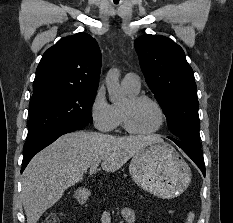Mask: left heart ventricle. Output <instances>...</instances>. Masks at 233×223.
Wrapping results in <instances>:
<instances>
[{
  "label": "left heart ventricle",
  "mask_w": 233,
  "mask_h": 223,
  "mask_svg": "<svg viewBox=\"0 0 233 223\" xmlns=\"http://www.w3.org/2000/svg\"><path fill=\"white\" fill-rule=\"evenodd\" d=\"M130 121L136 131L151 132L159 127L161 116L152 102L142 101L131 108Z\"/></svg>",
  "instance_id": "b2bd125f"
}]
</instances>
